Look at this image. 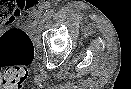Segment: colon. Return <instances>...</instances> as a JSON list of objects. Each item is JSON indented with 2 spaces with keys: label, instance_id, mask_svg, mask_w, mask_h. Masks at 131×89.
Masks as SVG:
<instances>
[{
  "label": "colon",
  "instance_id": "5ec220e1",
  "mask_svg": "<svg viewBox=\"0 0 131 89\" xmlns=\"http://www.w3.org/2000/svg\"><path fill=\"white\" fill-rule=\"evenodd\" d=\"M31 6L30 3L20 5L14 0H0V23L20 16ZM33 17L25 14L22 24H29ZM34 57V45L26 32L11 29L0 36V82L10 89H18L28 76L27 66Z\"/></svg>",
  "mask_w": 131,
  "mask_h": 89
}]
</instances>
